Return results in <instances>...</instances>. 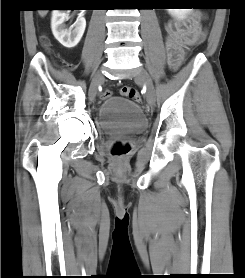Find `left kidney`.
<instances>
[{"instance_id": "obj_1", "label": "left kidney", "mask_w": 245, "mask_h": 278, "mask_svg": "<svg viewBox=\"0 0 245 278\" xmlns=\"http://www.w3.org/2000/svg\"><path fill=\"white\" fill-rule=\"evenodd\" d=\"M168 13L176 18H184L191 9H167Z\"/></svg>"}]
</instances>
